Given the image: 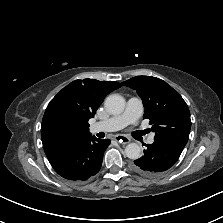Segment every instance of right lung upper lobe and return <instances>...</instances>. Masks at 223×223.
I'll use <instances>...</instances> for the list:
<instances>
[{"label": "right lung upper lobe", "instance_id": "right-lung-upper-lobe-1", "mask_svg": "<svg viewBox=\"0 0 223 223\" xmlns=\"http://www.w3.org/2000/svg\"><path fill=\"white\" fill-rule=\"evenodd\" d=\"M122 85L115 81L75 80L48 104L41 126L46 154L81 142L90 136L88 120L107 94Z\"/></svg>", "mask_w": 223, "mask_h": 223}]
</instances>
